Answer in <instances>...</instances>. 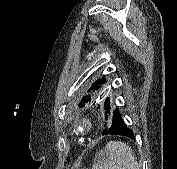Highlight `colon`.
Returning <instances> with one entry per match:
<instances>
[{
	"instance_id": "1",
	"label": "colon",
	"mask_w": 177,
	"mask_h": 169,
	"mask_svg": "<svg viewBox=\"0 0 177 169\" xmlns=\"http://www.w3.org/2000/svg\"><path fill=\"white\" fill-rule=\"evenodd\" d=\"M77 169H85V168H77Z\"/></svg>"
}]
</instances>
